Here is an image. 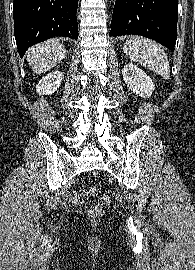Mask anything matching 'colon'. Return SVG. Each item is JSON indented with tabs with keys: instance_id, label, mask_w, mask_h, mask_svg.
<instances>
[{
	"instance_id": "obj_1",
	"label": "colon",
	"mask_w": 195,
	"mask_h": 270,
	"mask_svg": "<svg viewBox=\"0 0 195 270\" xmlns=\"http://www.w3.org/2000/svg\"><path fill=\"white\" fill-rule=\"evenodd\" d=\"M97 191L98 189L96 186H90L87 189L80 190L74 194L73 201L76 204L82 203L87 195H95ZM101 202L103 205H108L111 202V198L105 195L101 198ZM101 213H102V206L98 204L92 205L88 210V214L91 217H97Z\"/></svg>"
}]
</instances>
